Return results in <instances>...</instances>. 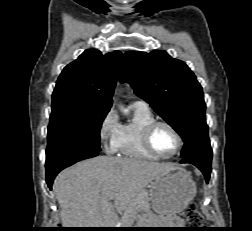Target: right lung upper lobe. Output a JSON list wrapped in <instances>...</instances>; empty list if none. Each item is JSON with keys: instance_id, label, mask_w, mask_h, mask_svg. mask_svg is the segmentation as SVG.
<instances>
[{"instance_id": "right-lung-upper-lobe-1", "label": "right lung upper lobe", "mask_w": 252, "mask_h": 231, "mask_svg": "<svg viewBox=\"0 0 252 231\" xmlns=\"http://www.w3.org/2000/svg\"><path fill=\"white\" fill-rule=\"evenodd\" d=\"M121 55L120 51L103 55L96 49L85 50L63 69L53 91L52 103L110 109Z\"/></svg>"}]
</instances>
